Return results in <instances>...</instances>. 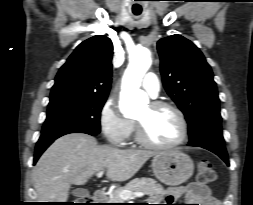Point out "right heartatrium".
Listing matches in <instances>:
<instances>
[{"instance_id": "right-heart-atrium-1", "label": "right heart atrium", "mask_w": 253, "mask_h": 205, "mask_svg": "<svg viewBox=\"0 0 253 205\" xmlns=\"http://www.w3.org/2000/svg\"><path fill=\"white\" fill-rule=\"evenodd\" d=\"M99 126L105 139L114 146L125 144L133 130V122L122 116L113 99H107L99 112Z\"/></svg>"}]
</instances>
